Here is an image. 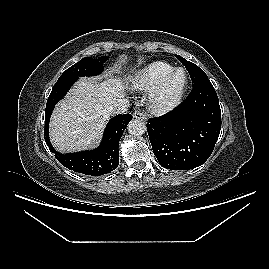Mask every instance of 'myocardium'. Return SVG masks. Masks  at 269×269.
<instances>
[{"mask_svg":"<svg viewBox=\"0 0 269 269\" xmlns=\"http://www.w3.org/2000/svg\"><path fill=\"white\" fill-rule=\"evenodd\" d=\"M179 73L184 75L180 88L172 95L167 94V89L172 79ZM189 85V75L184 68H176L165 76L149 93L148 108L155 115H165L173 111L182 102Z\"/></svg>","mask_w":269,"mask_h":269,"instance_id":"obj_1","label":"myocardium"}]
</instances>
